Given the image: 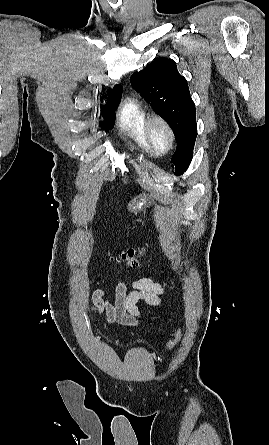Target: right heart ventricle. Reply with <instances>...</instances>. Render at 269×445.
Instances as JSON below:
<instances>
[{"label":"right heart ventricle","instance_id":"1","mask_svg":"<svg viewBox=\"0 0 269 445\" xmlns=\"http://www.w3.org/2000/svg\"><path fill=\"white\" fill-rule=\"evenodd\" d=\"M149 118L147 109L137 100L128 99L120 109V130L145 153H152L145 138V124Z\"/></svg>","mask_w":269,"mask_h":445}]
</instances>
